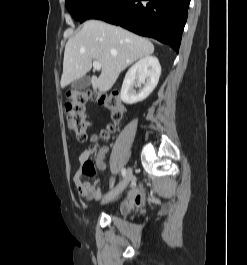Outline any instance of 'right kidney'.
Wrapping results in <instances>:
<instances>
[{"instance_id": "obj_1", "label": "right kidney", "mask_w": 247, "mask_h": 265, "mask_svg": "<svg viewBox=\"0 0 247 265\" xmlns=\"http://www.w3.org/2000/svg\"><path fill=\"white\" fill-rule=\"evenodd\" d=\"M161 66L154 56H147L136 62L126 73L121 99L124 103L135 104L146 99L158 84ZM143 85V87H141ZM134 87H138L136 92Z\"/></svg>"}]
</instances>
